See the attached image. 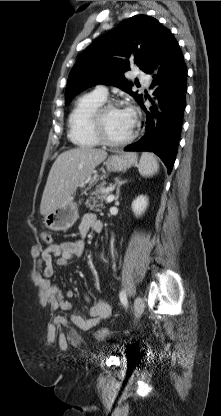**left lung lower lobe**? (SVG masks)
Listing matches in <instances>:
<instances>
[{"label": "left lung lower lobe", "instance_id": "left-lung-lower-lobe-1", "mask_svg": "<svg viewBox=\"0 0 221 416\" xmlns=\"http://www.w3.org/2000/svg\"><path fill=\"white\" fill-rule=\"evenodd\" d=\"M147 74L155 87L152 106L146 108L143 99L139 103L146 113L144 136L128 145L126 151H150L158 155L171 173L181 134L187 91V68L177 40L168 30L159 46Z\"/></svg>", "mask_w": 221, "mask_h": 416}]
</instances>
